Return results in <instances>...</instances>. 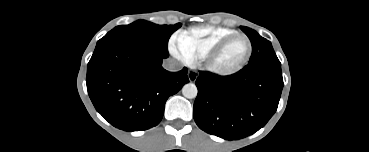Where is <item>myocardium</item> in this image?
Segmentation results:
<instances>
[{
    "label": "myocardium",
    "instance_id": "f54148a6",
    "mask_svg": "<svg viewBox=\"0 0 369 152\" xmlns=\"http://www.w3.org/2000/svg\"><path fill=\"white\" fill-rule=\"evenodd\" d=\"M237 38H242L246 40L248 49L246 56L244 59L235 67H232L230 69H221L216 66L215 61L217 57L220 55V53L225 49V47L232 42L233 40ZM253 51L252 42L249 39L248 36L242 33H234L232 35H229L222 39L220 42H218L213 48H211L207 54L203 57L202 63L203 67L210 73L217 75V76H230L233 75L239 71H241L249 62L251 55Z\"/></svg>",
    "mask_w": 369,
    "mask_h": 152
}]
</instances>
